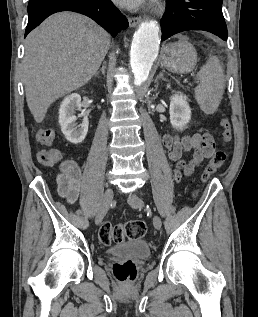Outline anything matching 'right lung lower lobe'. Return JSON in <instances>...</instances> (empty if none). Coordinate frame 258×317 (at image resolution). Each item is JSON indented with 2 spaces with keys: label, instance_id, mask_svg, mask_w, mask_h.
<instances>
[{
  "label": "right lung lower lobe",
  "instance_id": "1",
  "mask_svg": "<svg viewBox=\"0 0 258 317\" xmlns=\"http://www.w3.org/2000/svg\"><path fill=\"white\" fill-rule=\"evenodd\" d=\"M60 11L84 14L105 28L113 37L128 27V20L111 0H29V19L25 37L48 16Z\"/></svg>",
  "mask_w": 258,
  "mask_h": 317
}]
</instances>
